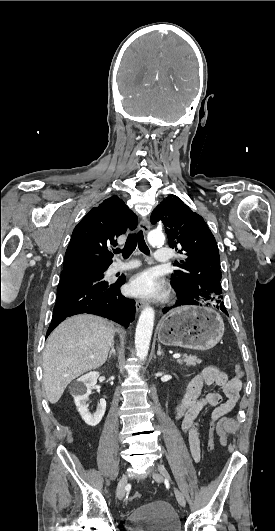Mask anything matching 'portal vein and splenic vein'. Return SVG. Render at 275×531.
<instances>
[{
  "label": "portal vein and splenic vein",
  "instance_id": "obj_1",
  "mask_svg": "<svg viewBox=\"0 0 275 531\" xmlns=\"http://www.w3.org/2000/svg\"><path fill=\"white\" fill-rule=\"evenodd\" d=\"M174 359H180L181 355H179V353H177V355H173Z\"/></svg>",
  "mask_w": 275,
  "mask_h": 531
}]
</instances>
